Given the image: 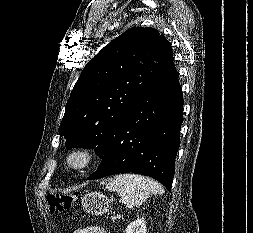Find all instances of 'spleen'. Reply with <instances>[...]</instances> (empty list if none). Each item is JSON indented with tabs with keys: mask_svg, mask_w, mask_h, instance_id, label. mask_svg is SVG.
I'll list each match as a JSON object with an SVG mask.
<instances>
[{
	"mask_svg": "<svg viewBox=\"0 0 253 233\" xmlns=\"http://www.w3.org/2000/svg\"><path fill=\"white\" fill-rule=\"evenodd\" d=\"M106 189L117 192L120 202L140 206L152 195H163L162 186L151 178L137 174H121L106 184Z\"/></svg>",
	"mask_w": 253,
	"mask_h": 233,
	"instance_id": "1",
	"label": "spleen"
}]
</instances>
